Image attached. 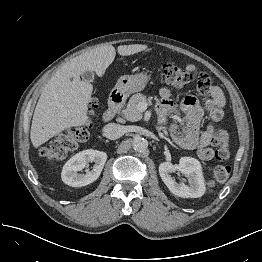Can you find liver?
<instances>
[{
	"mask_svg": "<svg viewBox=\"0 0 262 262\" xmlns=\"http://www.w3.org/2000/svg\"><path fill=\"white\" fill-rule=\"evenodd\" d=\"M147 45H120L121 56L145 51ZM116 55L112 45L97 47L64 64L47 82L36 105L30 139L35 148L40 147L58 133L89 122L87 107L93 87L81 81L85 71H95L102 77Z\"/></svg>",
	"mask_w": 262,
	"mask_h": 262,
	"instance_id": "6515ba94",
	"label": "liver"
}]
</instances>
